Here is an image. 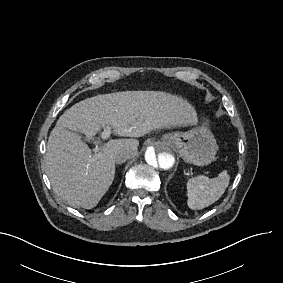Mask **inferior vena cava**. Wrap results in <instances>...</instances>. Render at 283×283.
<instances>
[{
  "instance_id": "inferior-vena-cava-1",
  "label": "inferior vena cava",
  "mask_w": 283,
  "mask_h": 283,
  "mask_svg": "<svg viewBox=\"0 0 283 283\" xmlns=\"http://www.w3.org/2000/svg\"><path fill=\"white\" fill-rule=\"evenodd\" d=\"M136 155V153L129 149V148H122V149H118L115 152V162L118 164L124 163L126 160L131 159L132 157H134Z\"/></svg>"
}]
</instances>
